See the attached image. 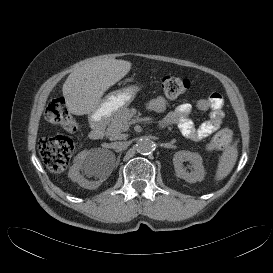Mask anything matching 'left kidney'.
<instances>
[{"mask_svg":"<svg viewBox=\"0 0 273 273\" xmlns=\"http://www.w3.org/2000/svg\"><path fill=\"white\" fill-rule=\"evenodd\" d=\"M190 162L192 164L191 172H188L186 168H184V162ZM202 157L198 153L190 152V151H178L173 156V165L176 172V176L184 179L189 183H196L198 181H202L205 176V170L202 165Z\"/></svg>","mask_w":273,"mask_h":273,"instance_id":"5707ae66","label":"left kidney"}]
</instances>
